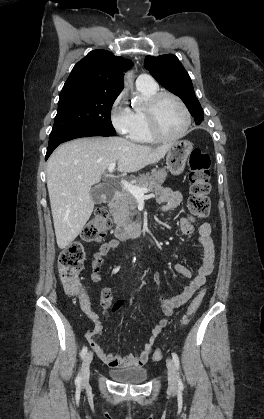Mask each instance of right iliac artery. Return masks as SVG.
<instances>
[{
	"instance_id": "1",
	"label": "right iliac artery",
	"mask_w": 264,
	"mask_h": 419,
	"mask_svg": "<svg viewBox=\"0 0 264 419\" xmlns=\"http://www.w3.org/2000/svg\"><path fill=\"white\" fill-rule=\"evenodd\" d=\"M86 353H87V347H86V346H84V347L82 348L81 352H80V356H81V358H84V357H85V355H86ZM75 382H76V384H77L78 386L81 384V375H80V374H78V376H77V378H76Z\"/></svg>"
}]
</instances>
